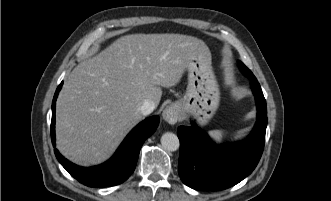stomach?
<instances>
[{
    "mask_svg": "<svg viewBox=\"0 0 331 201\" xmlns=\"http://www.w3.org/2000/svg\"><path fill=\"white\" fill-rule=\"evenodd\" d=\"M211 64L209 50L198 53L188 62L186 93L175 104L182 116H193L201 126L212 119L220 102L219 86Z\"/></svg>",
    "mask_w": 331,
    "mask_h": 201,
    "instance_id": "stomach-1",
    "label": "stomach"
}]
</instances>
